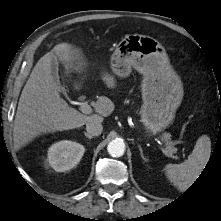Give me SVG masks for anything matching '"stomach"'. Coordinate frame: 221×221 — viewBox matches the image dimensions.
Returning a JSON list of instances; mask_svg holds the SVG:
<instances>
[{"instance_id":"stomach-1","label":"stomach","mask_w":221,"mask_h":221,"mask_svg":"<svg viewBox=\"0 0 221 221\" xmlns=\"http://www.w3.org/2000/svg\"><path fill=\"white\" fill-rule=\"evenodd\" d=\"M110 64L118 77H128L132 68L144 76L141 118L147 131L156 133L168 127L182 101L183 87L164 47L152 37L128 35L116 46Z\"/></svg>"}]
</instances>
